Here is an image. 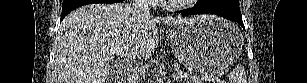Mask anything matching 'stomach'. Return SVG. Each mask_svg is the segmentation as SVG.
<instances>
[{"label": "stomach", "instance_id": "1", "mask_svg": "<svg viewBox=\"0 0 307 83\" xmlns=\"http://www.w3.org/2000/svg\"><path fill=\"white\" fill-rule=\"evenodd\" d=\"M175 57L189 70L216 74L241 54L243 37L233 23L205 15L181 24L168 34Z\"/></svg>", "mask_w": 307, "mask_h": 83}]
</instances>
